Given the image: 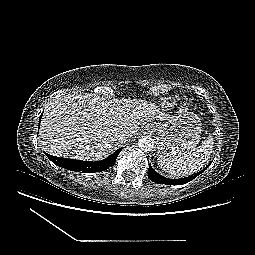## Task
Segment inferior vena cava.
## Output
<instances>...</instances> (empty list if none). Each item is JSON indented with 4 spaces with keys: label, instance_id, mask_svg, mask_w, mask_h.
<instances>
[{
    "label": "inferior vena cava",
    "instance_id": "inferior-vena-cava-1",
    "mask_svg": "<svg viewBox=\"0 0 255 255\" xmlns=\"http://www.w3.org/2000/svg\"><path fill=\"white\" fill-rule=\"evenodd\" d=\"M116 139L120 142H125L126 141V135L124 133L116 134Z\"/></svg>",
    "mask_w": 255,
    "mask_h": 255
}]
</instances>
